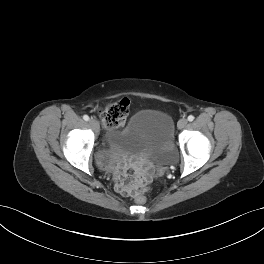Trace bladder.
Masks as SVG:
<instances>
[{
	"label": "bladder",
	"mask_w": 264,
	"mask_h": 264,
	"mask_svg": "<svg viewBox=\"0 0 264 264\" xmlns=\"http://www.w3.org/2000/svg\"><path fill=\"white\" fill-rule=\"evenodd\" d=\"M172 120L155 109L136 112L122 130L108 131L105 148L109 157L147 156L155 162L169 159L174 154Z\"/></svg>",
	"instance_id": "obj_1"
}]
</instances>
